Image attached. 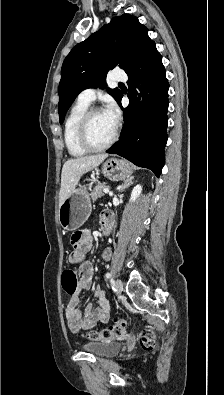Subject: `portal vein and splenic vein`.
<instances>
[{
    "label": "portal vein and splenic vein",
    "mask_w": 224,
    "mask_h": 395,
    "mask_svg": "<svg viewBox=\"0 0 224 395\" xmlns=\"http://www.w3.org/2000/svg\"><path fill=\"white\" fill-rule=\"evenodd\" d=\"M104 193H109V194H110L109 189H108V188H105V189H104Z\"/></svg>",
    "instance_id": "obj_1"
}]
</instances>
